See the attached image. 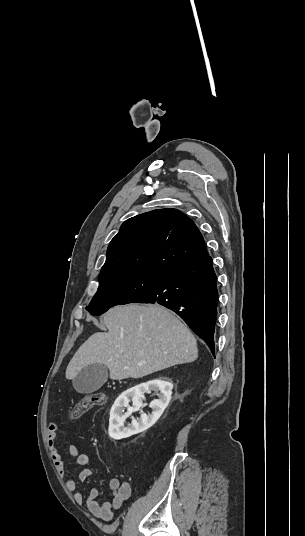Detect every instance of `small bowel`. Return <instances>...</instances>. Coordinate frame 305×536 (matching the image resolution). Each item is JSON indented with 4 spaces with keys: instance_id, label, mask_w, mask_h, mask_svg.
<instances>
[{
    "instance_id": "obj_1",
    "label": "small bowel",
    "mask_w": 305,
    "mask_h": 536,
    "mask_svg": "<svg viewBox=\"0 0 305 536\" xmlns=\"http://www.w3.org/2000/svg\"><path fill=\"white\" fill-rule=\"evenodd\" d=\"M53 422L46 426L47 444L50 449V456L56 468L59 478L65 477V466L62 454L57 446L58 432ZM70 458L75 459L78 466L83 467L77 475L79 482L86 481L92 474V471L87 467L91 458L87 454H81L80 448L77 445H70L68 449ZM65 488L68 492L73 493L76 502L80 503L83 499L81 492L76 491L77 482L75 480H67ZM108 488L111 498L104 502L98 500L99 491L97 488H92L87 498L88 510L97 518L110 521L113 518L114 510L120 509L122 505L129 499L131 495V485L128 482H121L118 478L112 477L108 481Z\"/></svg>"
}]
</instances>
